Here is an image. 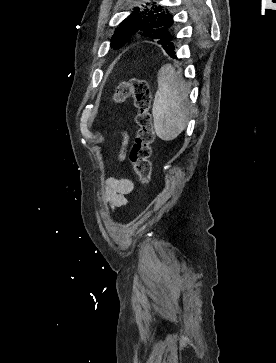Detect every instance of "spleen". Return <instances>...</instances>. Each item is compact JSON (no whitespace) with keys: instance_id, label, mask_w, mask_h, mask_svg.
Listing matches in <instances>:
<instances>
[{"instance_id":"obj_1","label":"spleen","mask_w":276,"mask_h":363,"mask_svg":"<svg viewBox=\"0 0 276 363\" xmlns=\"http://www.w3.org/2000/svg\"><path fill=\"white\" fill-rule=\"evenodd\" d=\"M189 89L171 64L158 72V90L152 115L157 136L164 141L177 138L186 127L189 115Z\"/></svg>"}]
</instances>
